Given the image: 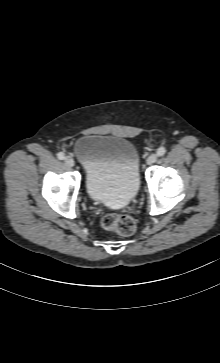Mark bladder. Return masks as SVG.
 I'll list each match as a JSON object with an SVG mask.
<instances>
[{"mask_svg": "<svg viewBox=\"0 0 220 363\" xmlns=\"http://www.w3.org/2000/svg\"><path fill=\"white\" fill-rule=\"evenodd\" d=\"M73 152L85 173L89 197L124 207L140 188V158L134 143L124 137L88 135L79 138Z\"/></svg>", "mask_w": 220, "mask_h": 363, "instance_id": "31cf9c89", "label": "bladder"}]
</instances>
